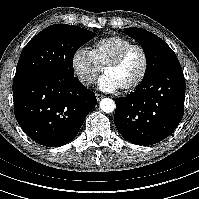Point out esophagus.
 Returning <instances> with one entry per match:
<instances>
[{"label": "esophagus", "mask_w": 199, "mask_h": 199, "mask_svg": "<svg viewBox=\"0 0 199 199\" xmlns=\"http://www.w3.org/2000/svg\"><path fill=\"white\" fill-rule=\"evenodd\" d=\"M95 97H96L97 101H100L101 99L104 98L103 95H100V94H98V93L95 94Z\"/></svg>", "instance_id": "1"}]
</instances>
